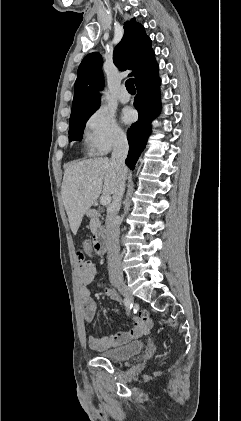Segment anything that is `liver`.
Masks as SVG:
<instances>
[{"instance_id":"obj_1","label":"liver","mask_w":241,"mask_h":421,"mask_svg":"<svg viewBox=\"0 0 241 421\" xmlns=\"http://www.w3.org/2000/svg\"><path fill=\"white\" fill-rule=\"evenodd\" d=\"M118 179L119 173L108 158L73 162L66 168L61 195L74 235L80 227L84 214L100 194H114Z\"/></svg>"}]
</instances>
